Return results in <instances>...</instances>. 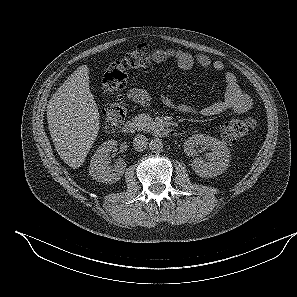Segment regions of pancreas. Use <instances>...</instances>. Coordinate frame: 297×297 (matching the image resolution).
<instances>
[{
  "mask_svg": "<svg viewBox=\"0 0 297 297\" xmlns=\"http://www.w3.org/2000/svg\"><path fill=\"white\" fill-rule=\"evenodd\" d=\"M134 121L139 124L142 131H150L156 128V122L147 114H139L134 118Z\"/></svg>",
  "mask_w": 297,
  "mask_h": 297,
  "instance_id": "1",
  "label": "pancreas"
}]
</instances>
